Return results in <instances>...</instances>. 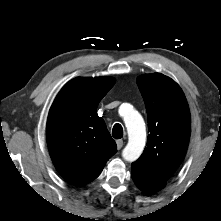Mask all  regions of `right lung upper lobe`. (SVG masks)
<instances>
[{"label": "right lung upper lobe", "mask_w": 221, "mask_h": 221, "mask_svg": "<svg viewBox=\"0 0 221 221\" xmlns=\"http://www.w3.org/2000/svg\"><path fill=\"white\" fill-rule=\"evenodd\" d=\"M111 77L75 78L57 95L47 119V144L59 174L74 185L99 176L117 151L104 120L101 99L114 85Z\"/></svg>", "instance_id": "right-lung-upper-lobe-1"}]
</instances>
